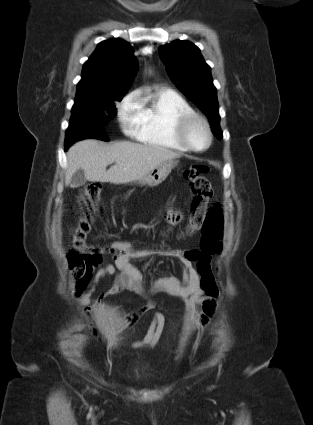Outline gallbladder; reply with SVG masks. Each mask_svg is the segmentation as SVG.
<instances>
[{
  "instance_id": "bac80fb5",
  "label": "gallbladder",
  "mask_w": 313,
  "mask_h": 425,
  "mask_svg": "<svg viewBox=\"0 0 313 425\" xmlns=\"http://www.w3.org/2000/svg\"><path fill=\"white\" fill-rule=\"evenodd\" d=\"M85 182L86 177L82 169L77 170L71 178V185L74 187L82 186Z\"/></svg>"
}]
</instances>
